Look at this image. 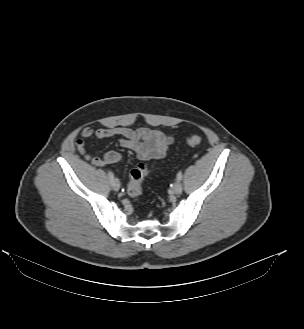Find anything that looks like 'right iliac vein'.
<instances>
[{
  "label": "right iliac vein",
  "instance_id": "obj_1",
  "mask_svg": "<svg viewBox=\"0 0 304 329\" xmlns=\"http://www.w3.org/2000/svg\"><path fill=\"white\" fill-rule=\"evenodd\" d=\"M112 189L115 191H118L120 189V183L118 180L115 179L113 185H112Z\"/></svg>",
  "mask_w": 304,
  "mask_h": 329
}]
</instances>
